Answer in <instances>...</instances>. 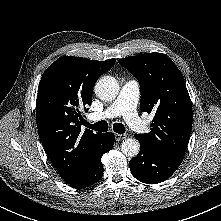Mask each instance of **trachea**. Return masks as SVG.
Masks as SVG:
<instances>
[{
  "label": "trachea",
  "instance_id": "3493384b",
  "mask_svg": "<svg viewBox=\"0 0 221 221\" xmlns=\"http://www.w3.org/2000/svg\"><path fill=\"white\" fill-rule=\"evenodd\" d=\"M86 127L99 132L108 131V123L104 120L96 122L95 124L86 123ZM113 130L118 134L125 133V127L122 123H115L113 125Z\"/></svg>",
  "mask_w": 221,
  "mask_h": 221
}]
</instances>
